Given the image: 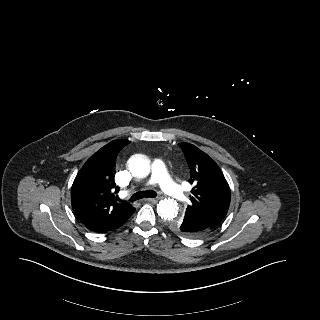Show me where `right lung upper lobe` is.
<instances>
[{
    "label": "right lung upper lobe",
    "instance_id": "right-lung-upper-lobe-1",
    "mask_svg": "<svg viewBox=\"0 0 320 320\" xmlns=\"http://www.w3.org/2000/svg\"><path fill=\"white\" fill-rule=\"evenodd\" d=\"M128 140H114L93 154L78 172L71 189V204L78 219L91 231L127 220L135 208L118 202L114 161Z\"/></svg>",
    "mask_w": 320,
    "mask_h": 320
}]
</instances>
